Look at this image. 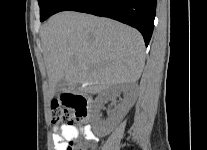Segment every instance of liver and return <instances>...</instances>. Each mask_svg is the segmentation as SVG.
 <instances>
[{"label": "liver", "mask_w": 207, "mask_h": 150, "mask_svg": "<svg viewBox=\"0 0 207 150\" xmlns=\"http://www.w3.org/2000/svg\"><path fill=\"white\" fill-rule=\"evenodd\" d=\"M50 95L65 78L70 90L97 94L136 82L145 63L141 34L120 22L74 11L53 15L41 32Z\"/></svg>", "instance_id": "6515ba94"}]
</instances>
